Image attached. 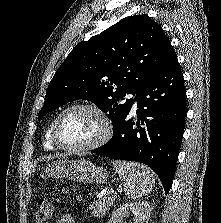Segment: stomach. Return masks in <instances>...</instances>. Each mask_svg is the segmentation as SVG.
<instances>
[{
    "label": "stomach",
    "mask_w": 221,
    "mask_h": 223,
    "mask_svg": "<svg viewBox=\"0 0 221 223\" xmlns=\"http://www.w3.org/2000/svg\"><path fill=\"white\" fill-rule=\"evenodd\" d=\"M45 175L66 178L80 183H103L108 179L107 170L85 159L60 160L49 164Z\"/></svg>",
    "instance_id": "0dacf381"
}]
</instances>
